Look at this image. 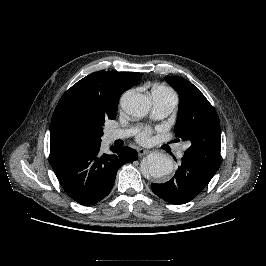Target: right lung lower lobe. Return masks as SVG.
<instances>
[{
    "label": "right lung lower lobe",
    "instance_id": "right-lung-lower-lobe-1",
    "mask_svg": "<svg viewBox=\"0 0 266 266\" xmlns=\"http://www.w3.org/2000/svg\"><path fill=\"white\" fill-rule=\"evenodd\" d=\"M98 143H64L50 146V162L65 192L81 205L96 204L111 191L118 169L138 159L136 150L111 147L100 152Z\"/></svg>",
    "mask_w": 266,
    "mask_h": 266
}]
</instances>
